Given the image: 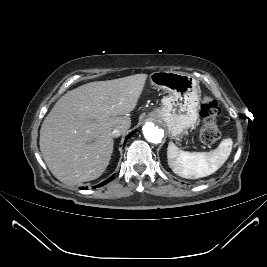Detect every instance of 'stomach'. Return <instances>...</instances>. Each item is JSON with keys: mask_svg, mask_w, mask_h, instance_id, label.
Instances as JSON below:
<instances>
[{"mask_svg": "<svg viewBox=\"0 0 267 267\" xmlns=\"http://www.w3.org/2000/svg\"><path fill=\"white\" fill-rule=\"evenodd\" d=\"M150 80L165 93L161 107L152 111L150 116L165 123L172 139H181L199 120L198 81L189 74L169 71L155 72Z\"/></svg>", "mask_w": 267, "mask_h": 267, "instance_id": "1", "label": "stomach"}]
</instances>
